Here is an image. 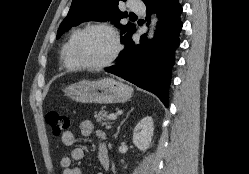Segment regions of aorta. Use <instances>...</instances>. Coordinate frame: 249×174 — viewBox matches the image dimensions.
Instances as JSON below:
<instances>
[{"instance_id": "1", "label": "aorta", "mask_w": 249, "mask_h": 174, "mask_svg": "<svg viewBox=\"0 0 249 174\" xmlns=\"http://www.w3.org/2000/svg\"><path fill=\"white\" fill-rule=\"evenodd\" d=\"M157 21H158V19H157L156 15L155 14L152 15L151 24H150V30H149V33H148V38L149 39L153 38V36H154L155 26L157 24Z\"/></svg>"}]
</instances>
